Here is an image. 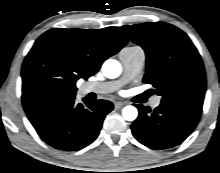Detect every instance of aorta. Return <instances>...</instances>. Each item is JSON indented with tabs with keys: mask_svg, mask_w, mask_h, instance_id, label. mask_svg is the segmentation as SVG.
<instances>
[{
	"mask_svg": "<svg viewBox=\"0 0 220 173\" xmlns=\"http://www.w3.org/2000/svg\"><path fill=\"white\" fill-rule=\"evenodd\" d=\"M122 71L121 64L114 59L106 60L102 65V72L109 79L117 78ZM122 115L127 121H134L138 116V110L132 105L125 106L122 110Z\"/></svg>",
	"mask_w": 220,
	"mask_h": 173,
	"instance_id": "aorta-1",
	"label": "aorta"
}]
</instances>
